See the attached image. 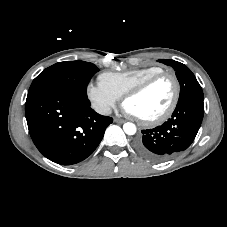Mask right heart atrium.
<instances>
[{
  "instance_id": "d8ad5b80",
  "label": "right heart atrium",
  "mask_w": 227,
  "mask_h": 227,
  "mask_svg": "<svg viewBox=\"0 0 227 227\" xmlns=\"http://www.w3.org/2000/svg\"><path fill=\"white\" fill-rule=\"evenodd\" d=\"M86 94L93 108L100 114H109L116 106L119 97L100 82L89 83Z\"/></svg>"
}]
</instances>
